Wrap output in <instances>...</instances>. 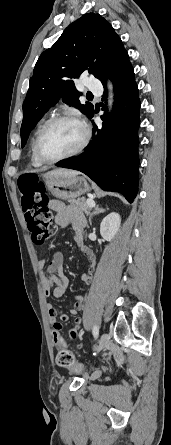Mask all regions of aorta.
Instances as JSON below:
<instances>
[{"label":"aorta","instance_id":"762f6f07","mask_svg":"<svg viewBox=\"0 0 171 445\" xmlns=\"http://www.w3.org/2000/svg\"><path fill=\"white\" fill-rule=\"evenodd\" d=\"M108 89H109L108 106H109V109H111L112 108V104H113V93H112V84H111L110 81L108 82Z\"/></svg>","mask_w":171,"mask_h":445}]
</instances>
